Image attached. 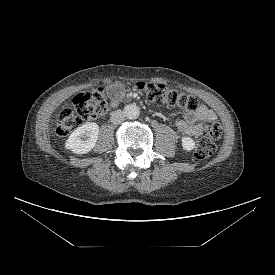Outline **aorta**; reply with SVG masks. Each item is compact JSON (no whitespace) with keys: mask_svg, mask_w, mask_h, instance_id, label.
I'll return each mask as SVG.
<instances>
[{"mask_svg":"<svg viewBox=\"0 0 275 275\" xmlns=\"http://www.w3.org/2000/svg\"><path fill=\"white\" fill-rule=\"evenodd\" d=\"M124 114L128 119H137L140 115V109L136 104H128L124 107Z\"/></svg>","mask_w":275,"mask_h":275,"instance_id":"762f6f07","label":"aorta"}]
</instances>
